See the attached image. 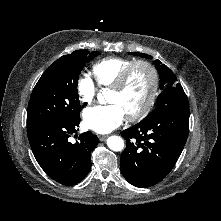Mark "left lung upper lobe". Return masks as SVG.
Segmentation results:
<instances>
[{
  "instance_id": "5c2ea615",
  "label": "left lung upper lobe",
  "mask_w": 221,
  "mask_h": 221,
  "mask_svg": "<svg viewBox=\"0 0 221 221\" xmlns=\"http://www.w3.org/2000/svg\"><path fill=\"white\" fill-rule=\"evenodd\" d=\"M129 54L146 57L148 59L152 58V56L144 53L133 52ZM155 66L160 76V88L164 91L159 95L155 109L150 114H148L146 118L155 116V114L160 109H164L170 96L178 94L180 92L185 93L181 84L177 83V78L175 77L174 73L166 65L161 64V62L156 60Z\"/></svg>"
}]
</instances>
